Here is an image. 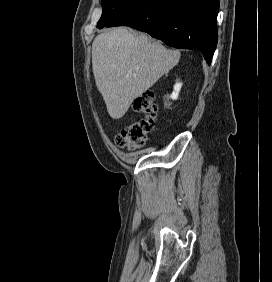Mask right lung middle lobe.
<instances>
[{
    "mask_svg": "<svg viewBox=\"0 0 272 282\" xmlns=\"http://www.w3.org/2000/svg\"><path fill=\"white\" fill-rule=\"evenodd\" d=\"M135 1L136 0H103V13L98 21L97 27L103 28L108 22L117 17Z\"/></svg>",
    "mask_w": 272,
    "mask_h": 282,
    "instance_id": "obj_1",
    "label": "right lung middle lobe"
}]
</instances>
